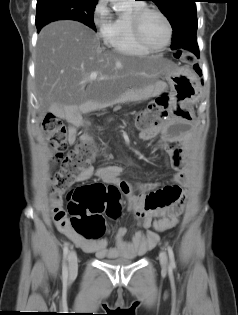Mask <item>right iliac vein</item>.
<instances>
[{
	"instance_id": "right-iliac-vein-1",
	"label": "right iliac vein",
	"mask_w": 238,
	"mask_h": 315,
	"mask_svg": "<svg viewBox=\"0 0 238 315\" xmlns=\"http://www.w3.org/2000/svg\"><path fill=\"white\" fill-rule=\"evenodd\" d=\"M68 262H69V275L70 277H74L78 270L77 254L74 250H71L69 252Z\"/></svg>"
}]
</instances>
